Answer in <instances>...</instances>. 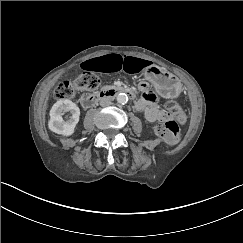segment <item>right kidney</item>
<instances>
[{
    "instance_id": "obj_1",
    "label": "right kidney",
    "mask_w": 243,
    "mask_h": 243,
    "mask_svg": "<svg viewBox=\"0 0 243 243\" xmlns=\"http://www.w3.org/2000/svg\"><path fill=\"white\" fill-rule=\"evenodd\" d=\"M66 112H70L71 116L66 121L62 115ZM80 109L71 100L64 99L57 101L50 110V120L48 127L51 131L70 136L74 133L76 124L79 121Z\"/></svg>"
}]
</instances>
